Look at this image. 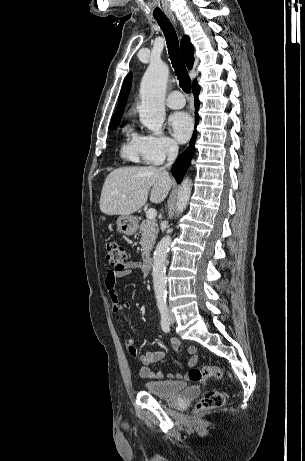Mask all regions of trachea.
<instances>
[{"label": "trachea", "mask_w": 305, "mask_h": 461, "mask_svg": "<svg viewBox=\"0 0 305 461\" xmlns=\"http://www.w3.org/2000/svg\"><path fill=\"white\" fill-rule=\"evenodd\" d=\"M155 19L165 35L169 57L179 80V85L184 92L189 93L191 90V79L181 57L176 31L166 17H158Z\"/></svg>", "instance_id": "3493384b"}]
</instances>
